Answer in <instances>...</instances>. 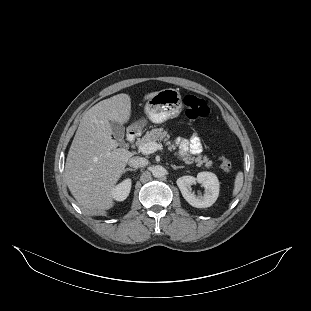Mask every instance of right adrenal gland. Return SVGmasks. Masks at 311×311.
<instances>
[{
    "label": "right adrenal gland",
    "mask_w": 311,
    "mask_h": 311,
    "mask_svg": "<svg viewBox=\"0 0 311 311\" xmlns=\"http://www.w3.org/2000/svg\"><path fill=\"white\" fill-rule=\"evenodd\" d=\"M137 170H138V169H132V168H130V169L125 170L124 174H126L127 172H134V171H137Z\"/></svg>",
    "instance_id": "right-adrenal-gland-1"
}]
</instances>
